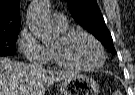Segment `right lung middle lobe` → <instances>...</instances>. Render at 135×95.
I'll return each instance as SVG.
<instances>
[{
    "instance_id": "right-lung-middle-lobe-1",
    "label": "right lung middle lobe",
    "mask_w": 135,
    "mask_h": 95,
    "mask_svg": "<svg viewBox=\"0 0 135 95\" xmlns=\"http://www.w3.org/2000/svg\"><path fill=\"white\" fill-rule=\"evenodd\" d=\"M19 30L0 33V56L16 54V40Z\"/></svg>"
}]
</instances>
